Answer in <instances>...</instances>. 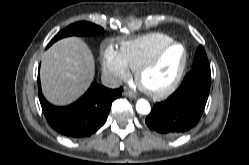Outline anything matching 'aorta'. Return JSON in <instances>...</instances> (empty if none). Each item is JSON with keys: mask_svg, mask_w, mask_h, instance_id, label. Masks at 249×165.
Wrapping results in <instances>:
<instances>
[{"mask_svg": "<svg viewBox=\"0 0 249 165\" xmlns=\"http://www.w3.org/2000/svg\"><path fill=\"white\" fill-rule=\"evenodd\" d=\"M136 110L139 114H149L151 111L150 104L147 100L145 99H139L136 102Z\"/></svg>", "mask_w": 249, "mask_h": 165, "instance_id": "aorta-1", "label": "aorta"}]
</instances>
